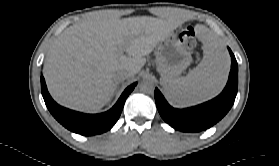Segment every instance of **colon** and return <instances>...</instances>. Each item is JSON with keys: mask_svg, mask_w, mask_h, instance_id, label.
Masks as SVG:
<instances>
[{"mask_svg": "<svg viewBox=\"0 0 279 166\" xmlns=\"http://www.w3.org/2000/svg\"><path fill=\"white\" fill-rule=\"evenodd\" d=\"M178 38L180 44L186 50H194L197 47L196 32L192 26H187L180 29Z\"/></svg>", "mask_w": 279, "mask_h": 166, "instance_id": "5ec220e1", "label": "colon"}]
</instances>
